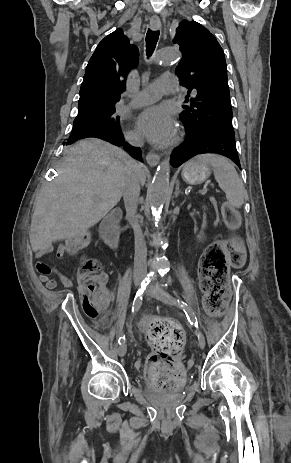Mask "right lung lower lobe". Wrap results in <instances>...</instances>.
Wrapping results in <instances>:
<instances>
[{
	"label": "right lung lower lobe",
	"instance_id": "obj_1",
	"mask_svg": "<svg viewBox=\"0 0 291 463\" xmlns=\"http://www.w3.org/2000/svg\"><path fill=\"white\" fill-rule=\"evenodd\" d=\"M100 138V139H103V140H106L114 145H118V146H121L123 143H124V138H123V135H122V132L121 130H115V131H110V132H95V133H91V134H87V135H84V136H81V137H78V138H75V139H69L67 144H72L73 142L79 140V139H83V138ZM124 148L129 151L130 155L132 157H134L135 159L137 160H140L142 161L141 157V150L140 148H136V147H132L130 146L129 144L127 143H124Z\"/></svg>",
	"mask_w": 291,
	"mask_h": 463
}]
</instances>
